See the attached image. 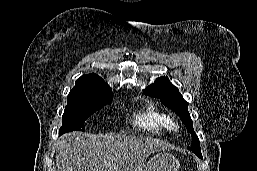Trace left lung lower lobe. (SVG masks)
Returning a JSON list of instances; mask_svg holds the SVG:
<instances>
[{
    "mask_svg": "<svg viewBox=\"0 0 257 171\" xmlns=\"http://www.w3.org/2000/svg\"><path fill=\"white\" fill-rule=\"evenodd\" d=\"M194 153V152H193ZM199 158L202 159V154L201 153H195Z\"/></svg>",
    "mask_w": 257,
    "mask_h": 171,
    "instance_id": "obj_1",
    "label": "left lung lower lobe"
}]
</instances>
